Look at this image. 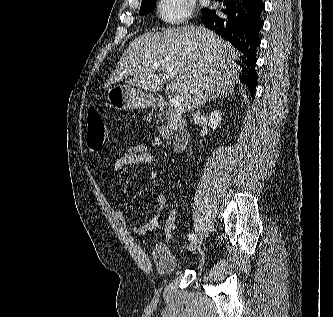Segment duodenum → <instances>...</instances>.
<instances>
[{
    "label": "duodenum",
    "instance_id": "410a0bca",
    "mask_svg": "<svg viewBox=\"0 0 333 317\" xmlns=\"http://www.w3.org/2000/svg\"><path fill=\"white\" fill-rule=\"evenodd\" d=\"M151 103L154 107L165 109L168 107V103L161 96H153ZM189 135L185 130L177 131L172 137V147L175 152H183L188 144Z\"/></svg>",
    "mask_w": 333,
    "mask_h": 317
}]
</instances>
